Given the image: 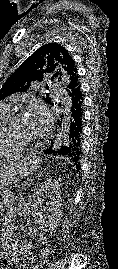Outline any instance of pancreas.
<instances>
[{
	"label": "pancreas",
	"mask_w": 118,
	"mask_h": 269,
	"mask_svg": "<svg viewBox=\"0 0 118 269\" xmlns=\"http://www.w3.org/2000/svg\"><path fill=\"white\" fill-rule=\"evenodd\" d=\"M29 182H35V177H25L24 180H19L15 183L16 187H12V192H21L22 190L28 189Z\"/></svg>",
	"instance_id": "1"
}]
</instances>
